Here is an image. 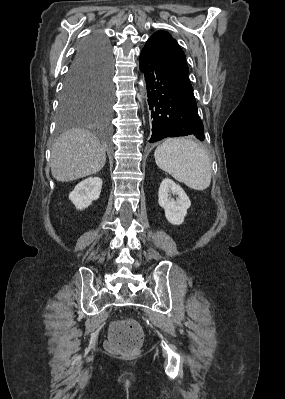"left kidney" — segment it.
Here are the masks:
<instances>
[{"instance_id":"5707ae66","label":"left kidney","mask_w":285,"mask_h":399,"mask_svg":"<svg viewBox=\"0 0 285 399\" xmlns=\"http://www.w3.org/2000/svg\"><path fill=\"white\" fill-rule=\"evenodd\" d=\"M177 195L176 200L171 197ZM159 206L165 210V217L173 225L184 222L187 210L191 206L189 197L185 191L171 179H164L158 191Z\"/></svg>"}]
</instances>
